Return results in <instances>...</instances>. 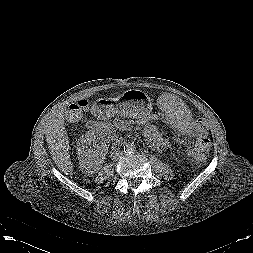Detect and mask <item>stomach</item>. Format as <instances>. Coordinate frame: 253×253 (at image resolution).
I'll return each instance as SVG.
<instances>
[{
    "instance_id": "1",
    "label": "stomach",
    "mask_w": 253,
    "mask_h": 253,
    "mask_svg": "<svg viewBox=\"0 0 253 253\" xmlns=\"http://www.w3.org/2000/svg\"><path fill=\"white\" fill-rule=\"evenodd\" d=\"M94 111L106 118L112 114H119L130 118H143L152 111V101L143 91L130 89L116 98L97 100Z\"/></svg>"
}]
</instances>
